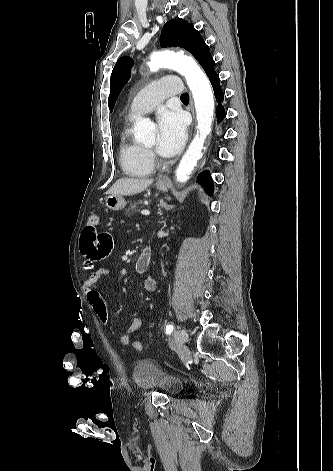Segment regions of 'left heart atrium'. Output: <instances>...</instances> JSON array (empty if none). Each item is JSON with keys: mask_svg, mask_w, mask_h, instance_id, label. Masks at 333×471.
<instances>
[{"mask_svg": "<svg viewBox=\"0 0 333 471\" xmlns=\"http://www.w3.org/2000/svg\"><path fill=\"white\" fill-rule=\"evenodd\" d=\"M158 136L156 148L160 155H176L186 139V121L181 113L163 110L158 114Z\"/></svg>", "mask_w": 333, "mask_h": 471, "instance_id": "39dd6f15", "label": "left heart atrium"}]
</instances>
